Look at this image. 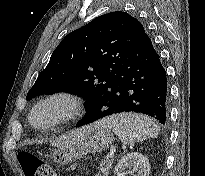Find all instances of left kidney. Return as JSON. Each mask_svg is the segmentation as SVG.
Segmentation results:
<instances>
[{
	"mask_svg": "<svg viewBox=\"0 0 205 176\" xmlns=\"http://www.w3.org/2000/svg\"><path fill=\"white\" fill-rule=\"evenodd\" d=\"M131 167L133 171L136 172L135 176H149V160L138 152L128 153L123 156L115 166L114 174L123 176L125 169Z\"/></svg>",
	"mask_w": 205,
	"mask_h": 176,
	"instance_id": "obj_1",
	"label": "left kidney"
}]
</instances>
